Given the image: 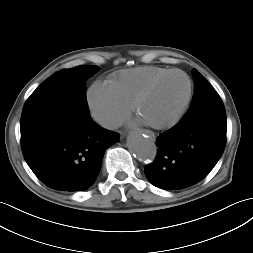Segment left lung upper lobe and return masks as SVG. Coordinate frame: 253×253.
Masks as SVG:
<instances>
[{"label": "left lung upper lobe", "mask_w": 253, "mask_h": 253, "mask_svg": "<svg viewBox=\"0 0 253 253\" xmlns=\"http://www.w3.org/2000/svg\"><path fill=\"white\" fill-rule=\"evenodd\" d=\"M195 93L191 106L182 120H195L209 115L226 114L223 102L208 81L193 69Z\"/></svg>", "instance_id": "obj_1"}]
</instances>
